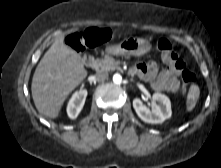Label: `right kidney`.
<instances>
[{
	"label": "right kidney",
	"instance_id": "1",
	"mask_svg": "<svg viewBox=\"0 0 221 168\" xmlns=\"http://www.w3.org/2000/svg\"><path fill=\"white\" fill-rule=\"evenodd\" d=\"M87 97V90L75 92L67 105V114L71 119H76L82 110Z\"/></svg>",
	"mask_w": 221,
	"mask_h": 168
}]
</instances>
